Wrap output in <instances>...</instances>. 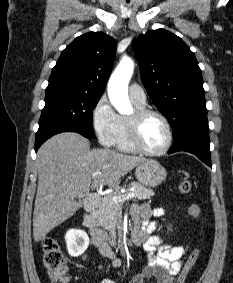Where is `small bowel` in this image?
Instances as JSON below:
<instances>
[{"instance_id": "c3829d8e", "label": "small bowel", "mask_w": 233, "mask_h": 283, "mask_svg": "<svg viewBox=\"0 0 233 283\" xmlns=\"http://www.w3.org/2000/svg\"><path fill=\"white\" fill-rule=\"evenodd\" d=\"M132 214L136 223L140 226L143 234V247L149 253L147 266L143 271L135 275L130 283H144L146 280H153L154 283H175V276L183 267V246L167 244L164 239L153 234L156 229V222L151 221L152 217H160L164 214L163 209H152L149 205L134 206ZM91 246L97 247L100 253L112 260L115 267H120L121 261L111 250L106 234L100 230L91 231ZM85 260H90L87 256ZM101 269V266H99ZM100 283H115L109 278H103Z\"/></svg>"}]
</instances>
